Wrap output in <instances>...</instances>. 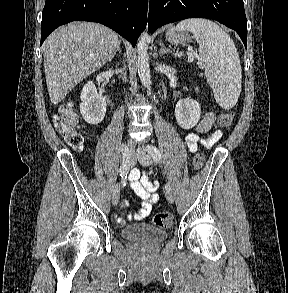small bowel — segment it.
<instances>
[{
  "label": "small bowel",
  "mask_w": 288,
  "mask_h": 293,
  "mask_svg": "<svg viewBox=\"0 0 288 293\" xmlns=\"http://www.w3.org/2000/svg\"><path fill=\"white\" fill-rule=\"evenodd\" d=\"M215 121V114L208 112L204 115L194 132H190L185 136V143L189 152L194 153L198 144L207 148L212 147L222 137L220 130L211 132L212 125ZM200 134H208L206 138H200ZM131 187L140 201V208L133 214H128L129 219L142 220L151 212L152 205L159 200L157 193L158 182L151 181L146 173H141L139 169H133L130 174ZM128 205L127 201L121 203L124 208ZM120 223H124V219L119 218Z\"/></svg>",
  "instance_id": "1"
}]
</instances>
